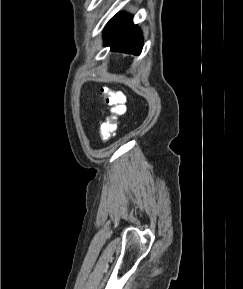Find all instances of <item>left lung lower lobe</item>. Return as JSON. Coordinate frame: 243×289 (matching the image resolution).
<instances>
[{"instance_id": "0a47b994", "label": "left lung lower lobe", "mask_w": 243, "mask_h": 289, "mask_svg": "<svg viewBox=\"0 0 243 289\" xmlns=\"http://www.w3.org/2000/svg\"><path fill=\"white\" fill-rule=\"evenodd\" d=\"M104 42L112 51L134 55L140 54L143 43L141 31L133 25L132 16L126 13H119L108 22Z\"/></svg>"}]
</instances>
